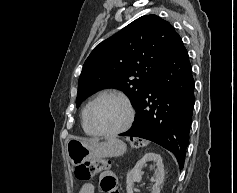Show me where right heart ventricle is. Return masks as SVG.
<instances>
[{
	"label": "right heart ventricle",
	"instance_id": "right-heart-ventricle-1",
	"mask_svg": "<svg viewBox=\"0 0 237 193\" xmlns=\"http://www.w3.org/2000/svg\"><path fill=\"white\" fill-rule=\"evenodd\" d=\"M88 106V105H87ZM87 106L83 109V112H82V118H81V125H82V129L84 130V132L87 134V135H96L92 129L89 127L88 123H87V120H86V110H87Z\"/></svg>",
	"mask_w": 237,
	"mask_h": 193
}]
</instances>
